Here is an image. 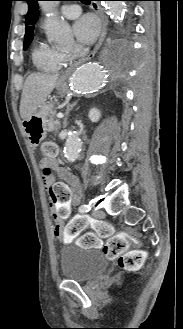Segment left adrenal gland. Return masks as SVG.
Instances as JSON below:
<instances>
[{
  "mask_svg": "<svg viewBox=\"0 0 183 329\" xmlns=\"http://www.w3.org/2000/svg\"><path fill=\"white\" fill-rule=\"evenodd\" d=\"M76 104H77V101H75L72 104L71 103L67 104V106H66V116H65V119H64V122H63L64 127L67 126V120H68L69 113L76 106Z\"/></svg>",
  "mask_w": 183,
  "mask_h": 329,
  "instance_id": "1",
  "label": "left adrenal gland"
}]
</instances>
